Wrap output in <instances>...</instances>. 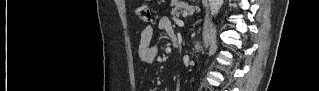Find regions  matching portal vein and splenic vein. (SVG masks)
<instances>
[{
	"mask_svg": "<svg viewBox=\"0 0 319 91\" xmlns=\"http://www.w3.org/2000/svg\"><path fill=\"white\" fill-rule=\"evenodd\" d=\"M177 25L180 26V27H183V26H184V23H183L182 21L178 20V21H177Z\"/></svg>",
	"mask_w": 319,
	"mask_h": 91,
	"instance_id": "18ae733b",
	"label": "portal vein and splenic vein"
}]
</instances>
